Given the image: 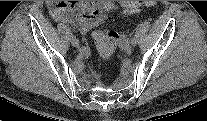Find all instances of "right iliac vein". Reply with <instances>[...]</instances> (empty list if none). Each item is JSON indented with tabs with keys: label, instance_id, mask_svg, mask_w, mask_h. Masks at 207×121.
I'll list each match as a JSON object with an SVG mask.
<instances>
[{
	"label": "right iliac vein",
	"instance_id": "obj_1",
	"mask_svg": "<svg viewBox=\"0 0 207 121\" xmlns=\"http://www.w3.org/2000/svg\"><path fill=\"white\" fill-rule=\"evenodd\" d=\"M70 42H71L72 46H74V47H78L79 46V41L75 37H72Z\"/></svg>",
	"mask_w": 207,
	"mask_h": 121
}]
</instances>
